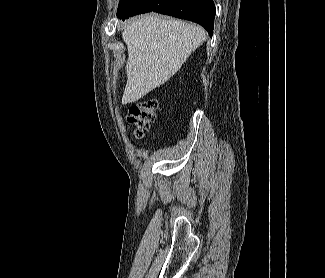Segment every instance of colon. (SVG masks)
<instances>
[{
  "mask_svg": "<svg viewBox=\"0 0 325 278\" xmlns=\"http://www.w3.org/2000/svg\"><path fill=\"white\" fill-rule=\"evenodd\" d=\"M157 101L148 99L132 105L127 115V122L134 127L137 138H142L144 132L150 127L155 119Z\"/></svg>",
  "mask_w": 325,
  "mask_h": 278,
  "instance_id": "colon-1",
  "label": "colon"
}]
</instances>
